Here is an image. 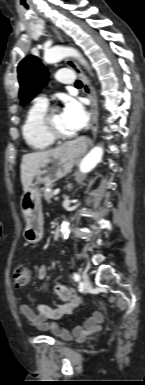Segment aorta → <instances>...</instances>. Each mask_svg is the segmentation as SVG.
<instances>
[{
    "instance_id": "1",
    "label": "aorta",
    "mask_w": 145,
    "mask_h": 385,
    "mask_svg": "<svg viewBox=\"0 0 145 385\" xmlns=\"http://www.w3.org/2000/svg\"><path fill=\"white\" fill-rule=\"evenodd\" d=\"M70 56L78 59V61L87 66L86 60L82 57L79 51L70 47H54L44 54V60L47 63H56L63 58ZM103 148L101 146H96L82 159L79 169L82 173H87L91 171L101 160L103 156ZM61 232L64 239L68 238L69 235V223L63 221L61 225Z\"/></svg>"
}]
</instances>
